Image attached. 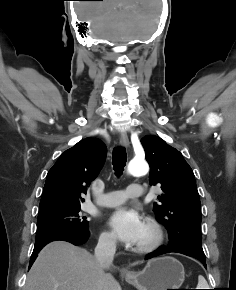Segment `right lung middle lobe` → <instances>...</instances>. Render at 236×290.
<instances>
[{
    "label": "right lung middle lobe",
    "mask_w": 236,
    "mask_h": 290,
    "mask_svg": "<svg viewBox=\"0 0 236 290\" xmlns=\"http://www.w3.org/2000/svg\"><path fill=\"white\" fill-rule=\"evenodd\" d=\"M80 209V204L40 209L36 239L54 233L88 231L89 223L80 213Z\"/></svg>",
    "instance_id": "1"
}]
</instances>
